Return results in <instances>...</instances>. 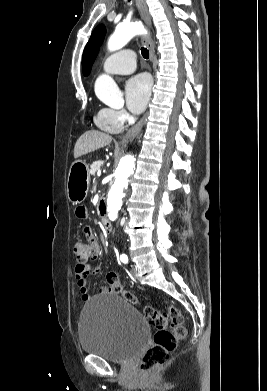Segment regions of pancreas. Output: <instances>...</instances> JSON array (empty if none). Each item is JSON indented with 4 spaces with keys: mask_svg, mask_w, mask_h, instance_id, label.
Segmentation results:
<instances>
[{
    "mask_svg": "<svg viewBox=\"0 0 267 391\" xmlns=\"http://www.w3.org/2000/svg\"><path fill=\"white\" fill-rule=\"evenodd\" d=\"M102 164H103V161H101V160H98V161L94 162V163L91 165V169H90L89 173H90L91 175H95L96 172H97V171L100 169V167L102 166Z\"/></svg>",
    "mask_w": 267,
    "mask_h": 391,
    "instance_id": "obj_1",
    "label": "pancreas"
}]
</instances>
